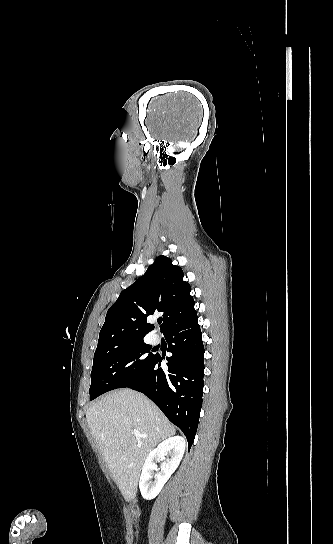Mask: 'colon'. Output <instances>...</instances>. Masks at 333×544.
Masks as SVG:
<instances>
[{"instance_id":"1","label":"colon","mask_w":333,"mask_h":544,"mask_svg":"<svg viewBox=\"0 0 333 544\" xmlns=\"http://www.w3.org/2000/svg\"><path fill=\"white\" fill-rule=\"evenodd\" d=\"M130 510H131V513H132V516H133L134 520L137 521L139 519V516H140V511H139L138 505L135 502L131 503Z\"/></svg>"}]
</instances>
